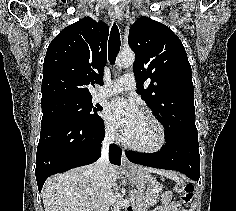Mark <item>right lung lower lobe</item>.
Instances as JSON below:
<instances>
[{
	"instance_id": "1",
	"label": "right lung lower lobe",
	"mask_w": 236,
	"mask_h": 211,
	"mask_svg": "<svg viewBox=\"0 0 236 211\" xmlns=\"http://www.w3.org/2000/svg\"><path fill=\"white\" fill-rule=\"evenodd\" d=\"M104 122L89 125L65 118H45L41 122L36 155V179L41 192L45 180L56 173L95 162L101 155ZM122 150L109 148L112 164H121Z\"/></svg>"
}]
</instances>
